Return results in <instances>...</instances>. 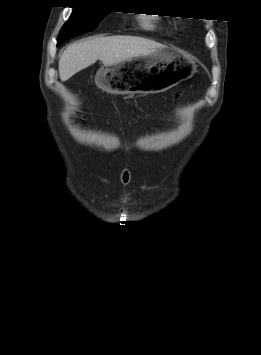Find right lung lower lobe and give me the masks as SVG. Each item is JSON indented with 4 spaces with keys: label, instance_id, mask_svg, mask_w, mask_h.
Instances as JSON below:
<instances>
[{
    "label": "right lung lower lobe",
    "instance_id": "98d812e1",
    "mask_svg": "<svg viewBox=\"0 0 261 355\" xmlns=\"http://www.w3.org/2000/svg\"><path fill=\"white\" fill-rule=\"evenodd\" d=\"M67 41L66 39L57 40V46L61 45L63 42Z\"/></svg>",
    "mask_w": 261,
    "mask_h": 355
}]
</instances>
